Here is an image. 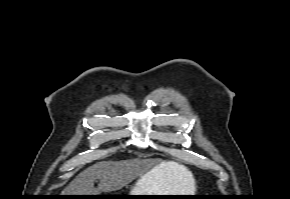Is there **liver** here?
<instances>
[{"mask_svg":"<svg viewBox=\"0 0 290 199\" xmlns=\"http://www.w3.org/2000/svg\"><path fill=\"white\" fill-rule=\"evenodd\" d=\"M154 168L158 169V176L169 192L184 191L193 183L191 172L177 162H161ZM148 172L146 160L98 162L77 175L62 195H99L101 192L116 191ZM96 179L100 180L98 188L94 187Z\"/></svg>","mask_w":290,"mask_h":199,"instance_id":"1","label":"liver"}]
</instances>
